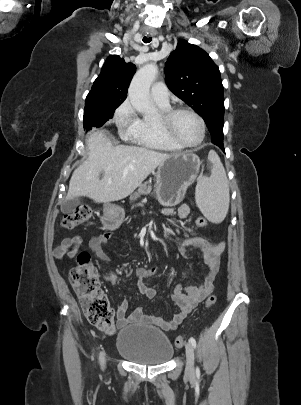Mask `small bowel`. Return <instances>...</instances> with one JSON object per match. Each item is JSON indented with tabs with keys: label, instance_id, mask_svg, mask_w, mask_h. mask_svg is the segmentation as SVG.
<instances>
[{
	"label": "small bowel",
	"instance_id": "obj_1",
	"mask_svg": "<svg viewBox=\"0 0 301 405\" xmlns=\"http://www.w3.org/2000/svg\"><path fill=\"white\" fill-rule=\"evenodd\" d=\"M190 206L181 204L176 211L178 218H186L190 214ZM173 210L167 208L163 211L164 216L172 215ZM112 232H106L94 236L89 240V247L93 254L103 262H108L109 257L104 251V246L110 241ZM83 242L81 236L65 238L60 245L55 248L54 255L58 259H63L66 255L70 258L75 257L78 246ZM187 247H194L200 250L204 264L208 273L202 284L198 286L178 284L172 294V300L177 307V312L171 320H165L161 317L146 313L142 307H137L131 314L127 315L128 301L122 300L116 308L117 326L124 327L128 324L147 323L160 327L165 331L174 330L190 314V312L203 301L214 289L216 276L220 268V256L225 249L224 242L213 243L203 237H191L178 243L179 252L186 257ZM156 268L138 267L136 269L137 289L149 299L155 294V288L149 286L146 281L153 277ZM104 280L110 282L113 286L117 283V276L114 273H107ZM114 330V329H113ZM113 332V331H112Z\"/></svg>",
	"mask_w": 301,
	"mask_h": 405
}]
</instances>
